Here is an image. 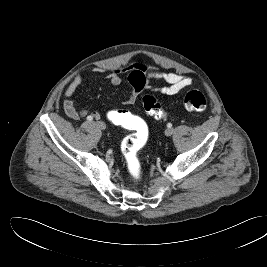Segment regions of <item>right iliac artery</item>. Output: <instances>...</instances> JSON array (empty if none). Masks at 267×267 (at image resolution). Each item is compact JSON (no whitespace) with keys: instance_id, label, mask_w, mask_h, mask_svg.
<instances>
[{"instance_id":"obj_1","label":"right iliac artery","mask_w":267,"mask_h":267,"mask_svg":"<svg viewBox=\"0 0 267 267\" xmlns=\"http://www.w3.org/2000/svg\"><path fill=\"white\" fill-rule=\"evenodd\" d=\"M87 120H88V121H92L93 118H92V117H87Z\"/></svg>"}]
</instances>
